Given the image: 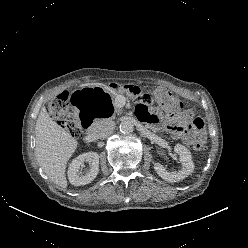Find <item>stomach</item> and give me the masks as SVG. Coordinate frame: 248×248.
I'll return each mask as SVG.
<instances>
[{
    "instance_id": "stomach-1",
    "label": "stomach",
    "mask_w": 248,
    "mask_h": 248,
    "mask_svg": "<svg viewBox=\"0 0 248 248\" xmlns=\"http://www.w3.org/2000/svg\"><path fill=\"white\" fill-rule=\"evenodd\" d=\"M70 105L81 116H93L98 120H109L116 113V102L111 91L105 86L92 88L81 86L70 94Z\"/></svg>"
}]
</instances>
